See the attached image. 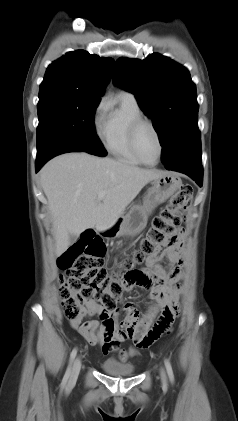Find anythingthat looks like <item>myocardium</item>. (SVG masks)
<instances>
[{
  "mask_svg": "<svg viewBox=\"0 0 238 421\" xmlns=\"http://www.w3.org/2000/svg\"><path fill=\"white\" fill-rule=\"evenodd\" d=\"M144 124H148L154 131L158 144H159V154H158V158L155 162L153 163H149L147 161H145L143 159V157L141 156L138 146H137V136H138V132L141 128L142 125ZM129 137H130V145H131V149L134 153V155L136 156V158L144 165L147 166H155L159 163L162 154H163V150H164V146H163V141H162V137L161 134L156 126V124L147 117L141 116L139 118H137L136 120L133 121V123L131 124L130 127V133H129Z\"/></svg>",
  "mask_w": 238,
  "mask_h": 421,
  "instance_id": "1",
  "label": "myocardium"
}]
</instances>
